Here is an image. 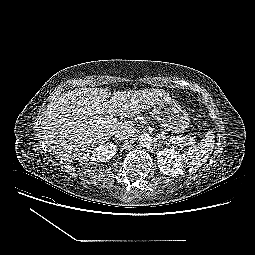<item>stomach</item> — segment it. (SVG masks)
<instances>
[{
  "mask_svg": "<svg viewBox=\"0 0 255 255\" xmlns=\"http://www.w3.org/2000/svg\"><path fill=\"white\" fill-rule=\"evenodd\" d=\"M157 121L167 130L175 134L184 133L189 127L188 113L171 97H161L153 106Z\"/></svg>",
  "mask_w": 255,
  "mask_h": 255,
  "instance_id": "1",
  "label": "stomach"
}]
</instances>
